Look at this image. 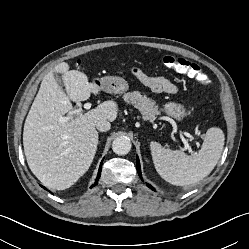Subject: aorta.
<instances>
[{"label": "aorta", "mask_w": 249, "mask_h": 249, "mask_svg": "<svg viewBox=\"0 0 249 249\" xmlns=\"http://www.w3.org/2000/svg\"><path fill=\"white\" fill-rule=\"evenodd\" d=\"M132 144L127 137H117L112 143L113 152L117 155H126L130 152Z\"/></svg>", "instance_id": "1"}]
</instances>
